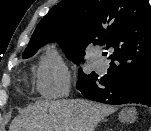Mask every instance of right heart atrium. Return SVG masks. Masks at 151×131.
Listing matches in <instances>:
<instances>
[{
	"label": "right heart atrium",
	"instance_id": "right-heart-atrium-1",
	"mask_svg": "<svg viewBox=\"0 0 151 131\" xmlns=\"http://www.w3.org/2000/svg\"><path fill=\"white\" fill-rule=\"evenodd\" d=\"M39 93L48 98L65 96L70 87L69 66L56 50H49L40 60L36 71Z\"/></svg>",
	"mask_w": 151,
	"mask_h": 131
}]
</instances>
